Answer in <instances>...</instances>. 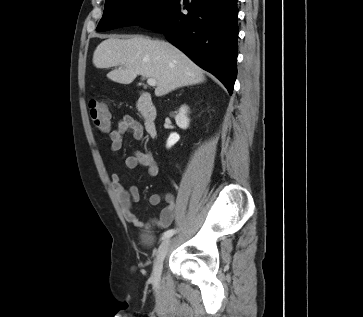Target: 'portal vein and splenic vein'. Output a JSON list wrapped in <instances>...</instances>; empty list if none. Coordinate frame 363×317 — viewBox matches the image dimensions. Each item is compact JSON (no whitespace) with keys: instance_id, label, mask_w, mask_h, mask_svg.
I'll list each match as a JSON object with an SVG mask.
<instances>
[{"instance_id":"obj_1","label":"portal vein and splenic vein","mask_w":363,"mask_h":317,"mask_svg":"<svg viewBox=\"0 0 363 317\" xmlns=\"http://www.w3.org/2000/svg\"><path fill=\"white\" fill-rule=\"evenodd\" d=\"M147 84L154 87V86L157 85V81L155 79H153V78H148Z\"/></svg>"}]
</instances>
